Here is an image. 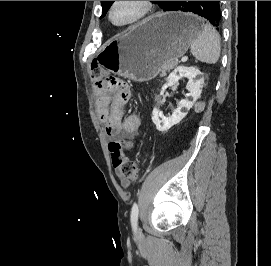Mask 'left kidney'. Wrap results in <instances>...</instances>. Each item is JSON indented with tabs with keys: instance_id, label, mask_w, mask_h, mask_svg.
Segmentation results:
<instances>
[{
	"instance_id": "5707ae66",
	"label": "left kidney",
	"mask_w": 271,
	"mask_h": 266,
	"mask_svg": "<svg viewBox=\"0 0 271 266\" xmlns=\"http://www.w3.org/2000/svg\"><path fill=\"white\" fill-rule=\"evenodd\" d=\"M182 77L189 79L186 85V88L189 91L187 98L182 99L178 103L177 109L173 111L170 117H164L157 107L152 111V121L156 125L157 130L161 132H166L173 125L178 124L187 115L188 111L201 95L204 79L201 77V72L195 68L178 67L168 76L167 86L177 84ZM162 94L163 92H161V95ZM188 97H191L192 100H189Z\"/></svg>"
}]
</instances>
